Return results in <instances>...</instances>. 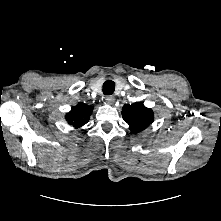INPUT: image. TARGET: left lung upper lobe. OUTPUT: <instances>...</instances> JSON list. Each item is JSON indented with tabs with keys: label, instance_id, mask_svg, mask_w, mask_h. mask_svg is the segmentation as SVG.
<instances>
[{
	"label": "left lung upper lobe",
	"instance_id": "obj_1",
	"mask_svg": "<svg viewBox=\"0 0 221 221\" xmlns=\"http://www.w3.org/2000/svg\"><path fill=\"white\" fill-rule=\"evenodd\" d=\"M123 119L129 124L133 133H138L147 128L154 119L151 109L146 108L142 103L124 105L122 111Z\"/></svg>",
	"mask_w": 221,
	"mask_h": 221
}]
</instances>
